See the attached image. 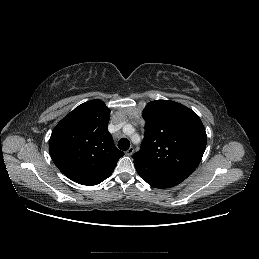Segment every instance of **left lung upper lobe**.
<instances>
[{
    "mask_svg": "<svg viewBox=\"0 0 259 259\" xmlns=\"http://www.w3.org/2000/svg\"><path fill=\"white\" fill-rule=\"evenodd\" d=\"M143 118L145 135L134 162L186 179L199 165L207 143L198 115L180 103L155 100L146 105Z\"/></svg>",
    "mask_w": 259,
    "mask_h": 259,
    "instance_id": "left-lung-upper-lobe-1",
    "label": "left lung upper lobe"
}]
</instances>
